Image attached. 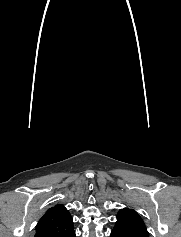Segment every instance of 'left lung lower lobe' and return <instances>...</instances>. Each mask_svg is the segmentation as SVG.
Returning a JSON list of instances; mask_svg holds the SVG:
<instances>
[{"instance_id": "0a47b994", "label": "left lung lower lobe", "mask_w": 181, "mask_h": 237, "mask_svg": "<svg viewBox=\"0 0 181 237\" xmlns=\"http://www.w3.org/2000/svg\"><path fill=\"white\" fill-rule=\"evenodd\" d=\"M110 237H146V236L142 234L132 233V232L120 233V232L112 231L110 234Z\"/></svg>"}]
</instances>
